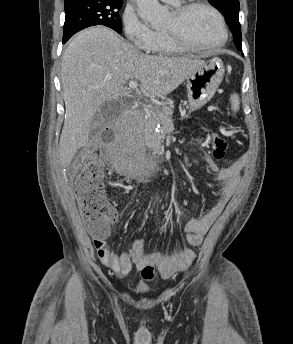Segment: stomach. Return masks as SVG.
<instances>
[{
    "instance_id": "1",
    "label": "stomach",
    "mask_w": 293,
    "mask_h": 344,
    "mask_svg": "<svg viewBox=\"0 0 293 344\" xmlns=\"http://www.w3.org/2000/svg\"><path fill=\"white\" fill-rule=\"evenodd\" d=\"M224 74L223 63L213 58L206 61L187 77V93L189 111H195L209 102L220 83Z\"/></svg>"
}]
</instances>
